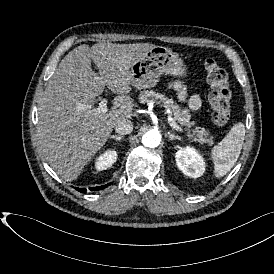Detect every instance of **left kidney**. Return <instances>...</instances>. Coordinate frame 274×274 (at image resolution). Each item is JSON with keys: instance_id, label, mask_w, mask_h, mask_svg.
Returning a JSON list of instances; mask_svg holds the SVG:
<instances>
[{"instance_id": "5707ae66", "label": "left kidney", "mask_w": 274, "mask_h": 274, "mask_svg": "<svg viewBox=\"0 0 274 274\" xmlns=\"http://www.w3.org/2000/svg\"><path fill=\"white\" fill-rule=\"evenodd\" d=\"M175 157L177 166L186 176L198 178L205 170L203 158L192 148L178 151Z\"/></svg>"}]
</instances>
